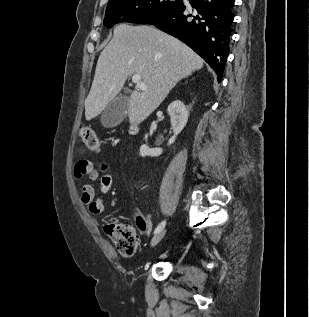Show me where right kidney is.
<instances>
[{"label": "right kidney", "instance_id": "ca27d5eb", "mask_svg": "<svg viewBox=\"0 0 309 317\" xmlns=\"http://www.w3.org/2000/svg\"><path fill=\"white\" fill-rule=\"evenodd\" d=\"M168 114L171 118V125L174 135L169 139L168 145L175 142L177 135L184 129L189 117V110L186 108L184 103L180 100L173 101L167 108ZM163 152L162 148L150 149L147 145L140 147V155L142 157L151 156L157 157Z\"/></svg>", "mask_w": 309, "mask_h": 317}]
</instances>
